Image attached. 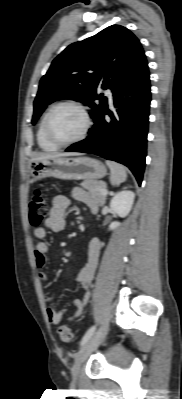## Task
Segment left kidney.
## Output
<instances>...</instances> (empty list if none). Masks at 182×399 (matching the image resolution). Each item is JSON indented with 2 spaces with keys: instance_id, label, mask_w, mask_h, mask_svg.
<instances>
[{
  "instance_id": "5707ae66",
  "label": "left kidney",
  "mask_w": 182,
  "mask_h": 399,
  "mask_svg": "<svg viewBox=\"0 0 182 399\" xmlns=\"http://www.w3.org/2000/svg\"><path fill=\"white\" fill-rule=\"evenodd\" d=\"M135 193L129 190H124L116 194L111 202V209L121 218L126 217L132 209L134 203ZM120 226L118 221L110 224L109 230H114Z\"/></svg>"
}]
</instances>
